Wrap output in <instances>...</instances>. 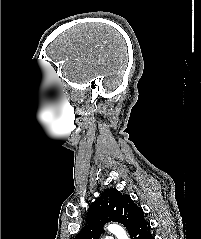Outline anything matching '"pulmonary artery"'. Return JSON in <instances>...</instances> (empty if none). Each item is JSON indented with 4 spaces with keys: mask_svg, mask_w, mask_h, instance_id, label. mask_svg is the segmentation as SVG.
Instances as JSON below:
<instances>
[{
    "mask_svg": "<svg viewBox=\"0 0 201 239\" xmlns=\"http://www.w3.org/2000/svg\"><path fill=\"white\" fill-rule=\"evenodd\" d=\"M104 239H114L112 236H106Z\"/></svg>",
    "mask_w": 201,
    "mask_h": 239,
    "instance_id": "e3ab8cb5",
    "label": "pulmonary artery"
}]
</instances>
